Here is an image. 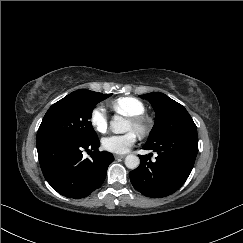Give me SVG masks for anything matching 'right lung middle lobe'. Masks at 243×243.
<instances>
[{"instance_id":"obj_1","label":"right lung middle lobe","mask_w":243,"mask_h":243,"mask_svg":"<svg viewBox=\"0 0 243 243\" xmlns=\"http://www.w3.org/2000/svg\"><path fill=\"white\" fill-rule=\"evenodd\" d=\"M111 94L77 90L53 104L45 114L37 132L36 142L62 138L79 142L98 139L92 128L91 114L97 103Z\"/></svg>"}]
</instances>
